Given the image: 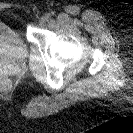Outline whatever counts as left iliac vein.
Returning a JSON list of instances; mask_svg holds the SVG:
<instances>
[{
    "label": "left iliac vein",
    "instance_id": "4c4485c4",
    "mask_svg": "<svg viewBox=\"0 0 133 133\" xmlns=\"http://www.w3.org/2000/svg\"><path fill=\"white\" fill-rule=\"evenodd\" d=\"M49 20V15H44L39 19V23L41 25H45L47 23V21Z\"/></svg>",
    "mask_w": 133,
    "mask_h": 133
}]
</instances>
